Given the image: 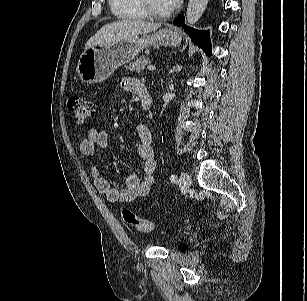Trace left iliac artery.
<instances>
[{
    "label": "left iliac artery",
    "instance_id": "left-iliac-artery-1",
    "mask_svg": "<svg viewBox=\"0 0 307 301\" xmlns=\"http://www.w3.org/2000/svg\"><path fill=\"white\" fill-rule=\"evenodd\" d=\"M170 180H171L172 183H177L178 178L175 174H172L171 177H170Z\"/></svg>",
    "mask_w": 307,
    "mask_h": 301
}]
</instances>
